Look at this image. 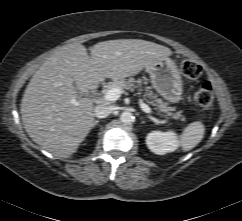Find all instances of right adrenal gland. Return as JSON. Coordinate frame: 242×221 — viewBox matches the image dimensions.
<instances>
[{"label":"right adrenal gland","instance_id":"obj_1","mask_svg":"<svg viewBox=\"0 0 242 221\" xmlns=\"http://www.w3.org/2000/svg\"><path fill=\"white\" fill-rule=\"evenodd\" d=\"M98 123H99V120H95L94 124H93V127L96 126Z\"/></svg>","mask_w":242,"mask_h":221}]
</instances>
